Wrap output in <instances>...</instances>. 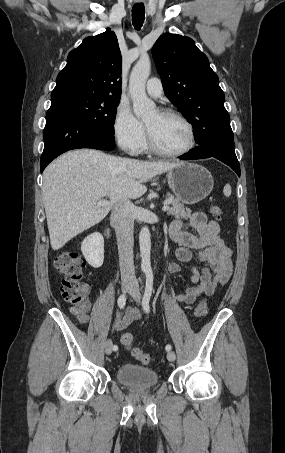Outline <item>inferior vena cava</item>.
Returning <instances> with one entry per match:
<instances>
[{"mask_svg":"<svg viewBox=\"0 0 285 453\" xmlns=\"http://www.w3.org/2000/svg\"><path fill=\"white\" fill-rule=\"evenodd\" d=\"M111 224L115 229L121 280L124 283H136L133 262L134 245V205L127 198L118 200L111 212Z\"/></svg>","mask_w":285,"mask_h":453,"instance_id":"obj_1","label":"inferior vena cava"}]
</instances>
